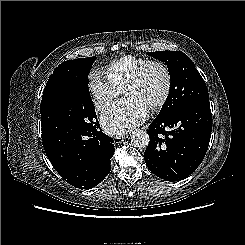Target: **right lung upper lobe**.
Masks as SVG:
<instances>
[{
	"label": "right lung upper lobe",
	"mask_w": 245,
	"mask_h": 245,
	"mask_svg": "<svg viewBox=\"0 0 245 245\" xmlns=\"http://www.w3.org/2000/svg\"><path fill=\"white\" fill-rule=\"evenodd\" d=\"M52 78H53V76H50V78H49V80L47 82L48 85L50 84ZM46 86H47V84H46ZM49 101H50L49 91H48V89H46V90L44 89L43 96H42V101H41V105L45 106Z\"/></svg>",
	"instance_id": "obj_1"
}]
</instances>
